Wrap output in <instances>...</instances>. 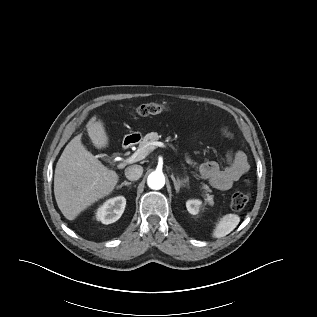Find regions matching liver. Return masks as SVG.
<instances>
[{
	"mask_svg": "<svg viewBox=\"0 0 317 317\" xmlns=\"http://www.w3.org/2000/svg\"><path fill=\"white\" fill-rule=\"evenodd\" d=\"M88 136L99 149L108 145L103 122L92 117ZM75 136L65 147L55 168L54 194L57 205L68 220H74L92 203L109 195L118 183V174L106 168Z\"/></svg>",
	"mask_w": 317,
	"mask_h": 317,
	"instance_id": "1",
	"label": "liver"
}]
</instances>
